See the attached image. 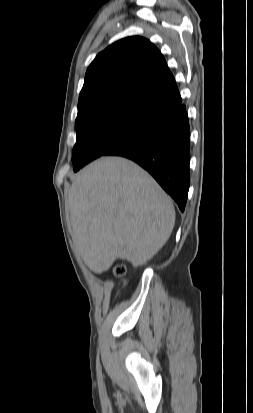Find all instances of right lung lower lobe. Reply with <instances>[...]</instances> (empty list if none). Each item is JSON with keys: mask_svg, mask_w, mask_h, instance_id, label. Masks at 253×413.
<instances>
[{"mask_svg": "<svg viewBox=\"0 0 253 413\" xmlns=\"http://www.w3.org/2000/svg\"><path fill=\"white\" fill-rule=\"evenodd\" d=\"M104 155L138 163L184 211L190 183V127L184 104L157 112L145 128Z\"/></svg>", "mask_w": 253, "mask_h": 413, "instance_id": "98d812e1", "label": "right lung lower lobe"}]
</instances>
